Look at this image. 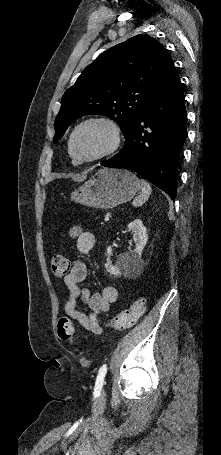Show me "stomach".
<instances>
[{"instance_id": "obj_1", "label": "stomach", "mask_w": 221, "mask_h": 455, "mask_svg": "<svg viewBox=\"0 0 221 455\" xmlns=\"http://www.w3.org/2000/svg\"><path fill=\"white\" fill-rule=\"evenodd\" d=\"M139 179L124 169H100L71 193V200L85 206L110 209L131 200L140 190Z\"/></svg>"}]
</instances>
